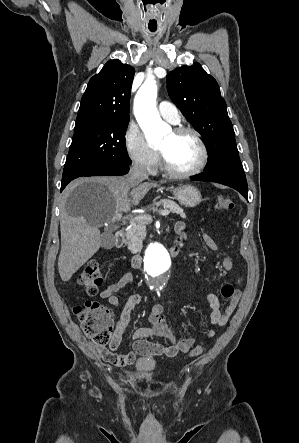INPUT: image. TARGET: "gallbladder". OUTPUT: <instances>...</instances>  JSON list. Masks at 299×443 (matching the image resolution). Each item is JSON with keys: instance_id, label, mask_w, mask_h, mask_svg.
<instances>
[{"instance_id": "obj_1", "label": "gallbladder", "mask_w": 299, "mask_h": 443, "mask_svg": "<svg viewBox=\"0 0 299 443\" xmlns=\"http://www.w3.org/2000/svg\"><path fill=\"white\" fill-rule=\"evenodd\" d=\"M114 242V237L111 233H103L101 235V246L104 249H109Z\"/></svg>"}]
</instances>
